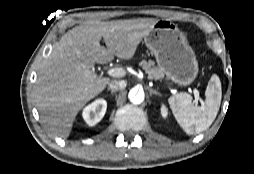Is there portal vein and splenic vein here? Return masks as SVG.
I'll list each match as a JSON object with an SVG mask.
<instances>
[{
  "instance_id": "obj_1",
  "label": "portal vein and splenic vein",
  "mask_w": 254,
  "mask_h": 174,
  "mask_svg": "<svg viewBox=\"0 0 254 174\" xmlns=\"http://www.w3.org/2000/svg\"><path fill=\"white\" fill-rule=\"evenodd\" d=\"M107 74L112 77H124L126 72L123 68L114 67V68L109 69L107 71ZM193 93L195 96V103H198V101L202 102L200 99L199 92L196 89H194Z\"/></svg>"
}]
</instances>
